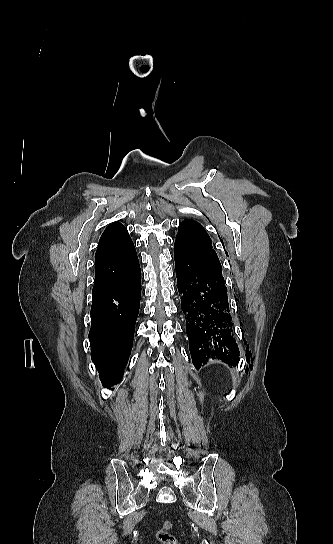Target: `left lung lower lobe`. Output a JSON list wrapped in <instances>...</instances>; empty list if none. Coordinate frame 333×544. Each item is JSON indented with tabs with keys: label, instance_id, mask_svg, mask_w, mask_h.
<instances>
[{
	"label": "left lung lower lobe",
	"instance_id": "left-lung-lower-lobe-1",
	"mask_svg": "<svg viewBox=\"0 0 333 544\" xmlns=\"http://www.w3.org/2000/svg\"><path fill=\"white\" fill-rule=\"evenodd\" d=\"M174 257L194 366L199 369L213 360L236 365L239 349L233 337L232 315L222 272L180 249H175Z\"/></svg>",
	"mask_w": 333,
	"mask_h": 544
}]
</instances>
